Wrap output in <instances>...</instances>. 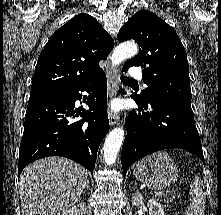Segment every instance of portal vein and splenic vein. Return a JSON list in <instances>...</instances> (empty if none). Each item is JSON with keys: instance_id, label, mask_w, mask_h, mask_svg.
Instances as JSON below:
<instances>
[{"instance_id": "obj_1", "label": "portal vein and splenic vein", "mask_w": 221, "mask_h": 215, "mask_svg": "<svg viewBox=\"0 0 221 215\" xmlns=\"http://www.w3.org/2000/svg\"><path fill=\"white\" fill-rule=\"evenodd\" d=\"M167 193L169 194V193H171V191H166V194H167ZM163 194H164V192H158V193H157V196H161V195H163Z\"/></svg>"}]
</instances>
